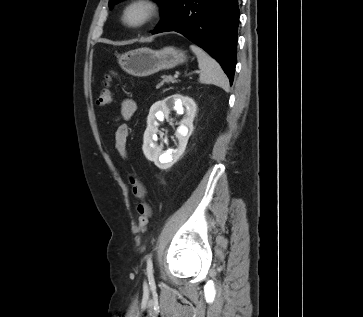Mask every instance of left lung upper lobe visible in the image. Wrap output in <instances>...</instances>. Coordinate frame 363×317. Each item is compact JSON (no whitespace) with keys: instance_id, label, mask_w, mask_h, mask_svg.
Masks as SVG:
<instances>
[{"instance_id":"obj_1","label":"left lung upper lobe","mask_w":363,"mask_h":317,"mask_svg":"<svg viewBox=\"0 0 363 317\" xmlns=\"http://www.w3.org/2000/svg\"><path fill=\"white\" fill-rule=\"evenodd\" d=\"M121 0H110L109 1V7H112L115 3L119 2ZM159 3L160 7H161V12L166 8V6L168 5V3L170 2V0H155Z\"/></svg>"}]
</instances>
